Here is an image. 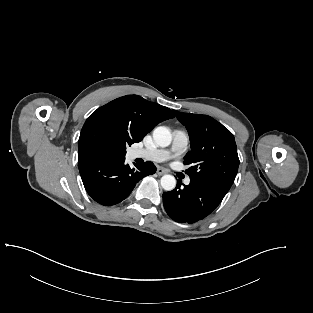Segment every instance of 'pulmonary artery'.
<instances>
[{
	"mask_svg": "<svg viewBox=\"0 0 313 313\" xmlns=\"http://www.w3.org/2000/svg\"><path fill=\"white\" fill-rule=\"evenodd\" d=\"M189 145V136L183 130H174L172 134V143L168 149H134L132 151L133 158H143L155 162H163L170 158L182 154ZM190 179L185 180L188 185Z\"/></svg>",
	"mask_w": 313,
	"mask_h": 313,
	"instance_id": "obj_1",
	"label": "pulmonary artery"
}]
</instances>
